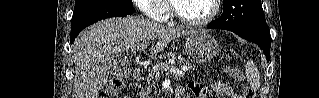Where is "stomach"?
Wrapping results in <instances>:
<instances>
[{
    "instance_id": "1",
    "label": "stomach",
    "mask_w": 319,
    "mask_h": 98,
    "mask_svg": "<svg viewBox=\"0 0 319 98\" xmlns=\"http://www.w3.org/2000/svg\"><path fill=\"white\" fill-rule=\"evenodd\" d=\"M218 50L217 41L203 31L192 32L185 42L187 55L197 62L210 61L217 54Z\"/></svg>"
}]
</instances>
